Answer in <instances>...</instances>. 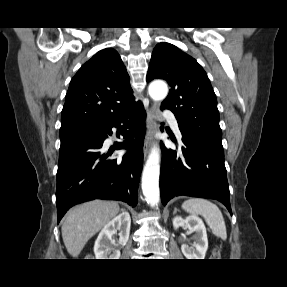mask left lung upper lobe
Listing matches in <instances>:
<instances>
[{"instance_id":"1","label":"left lung upper lobe","mask_w":287,"mask_h":287,"mask_svg":"<svg viewBox=\"0 0 287 287\" xmlns=\"http://www.w3.org/2000/svg\"><path fill=\"white\" fill-rule=\"evenodd\" d=\"M158 78L171 87L161 109L174 113L180 131L223 149L216 95L200 64L176 46L162 42L153 50L147 81Z\"/></svg>"}]
</instances>
